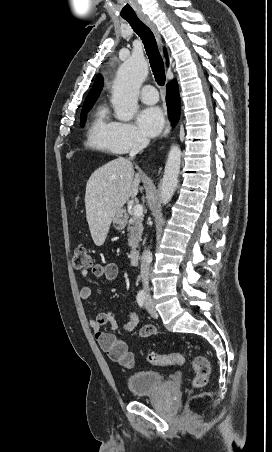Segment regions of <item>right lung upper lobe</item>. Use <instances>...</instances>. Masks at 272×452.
I'll return each instance as SVG.
<instances>
[{
  "label": "right lung upper lobe",
  "mask_w": 272,
  "mask_h": 452,
  "mask_svg": "<svg viewBox=\"0 0 272 452\" xmlns=\"http://www.w3.org/2000/svg\"><path fill=\"white\" fill-rule=\"evenodd\" d=\"M168 64V62H167ZM103 88V78L101 75H98L96 77V80L90 90V92L88 93L84 104H91V103H95L97 97L99 96L101 90ZM83 104V105H84Z\"/></svg>",
  "instance_id": "1"
}]
</instances>
